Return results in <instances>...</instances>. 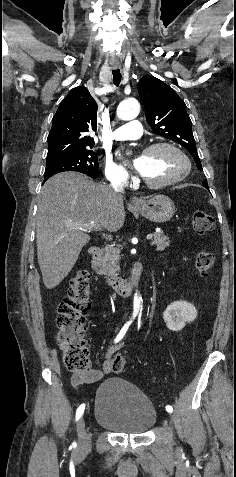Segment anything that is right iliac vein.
<instances>
[{"mask_svg": "<svg viewBox=\"0 0 236 477\" xmlns=\"http://www.w3.org/2000/svg\"><path fill=\"white\" fill-rule=\"evenodd\" d=\"M77 432H78V447L77 450L79 453H84L90 450L91 447V439L89 434L85 428V421L81 418L77 425Z\"/></svg>", "mask_w": 236, "mask_h": 477, "instance_id": "63e3f726", "label": "right iliac vein"}]
</instances>
